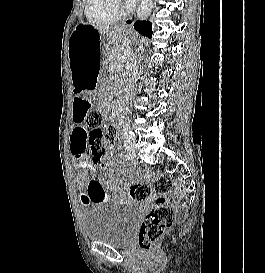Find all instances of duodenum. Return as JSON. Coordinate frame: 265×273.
I'll use <instances>...</instances> for the list:
<instances>
[{"instance_id": "obj_1", "label": "duodenum", "mask_w": 265, "mask_h": 273, "mask_svg": "<svg viewBox=\"0 0 265 273\" xmlns=\"http://www.w3.org/2000/svg\"><path fill=\"white\" fill-rule=\"evenodd\" d=\"M119 117L122 118V112H119Z\"/></svg>"}]
</instances>
